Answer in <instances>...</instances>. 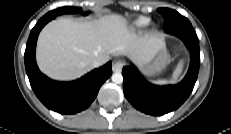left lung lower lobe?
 Segmentation results:
<instances>
[{
    "label": "left lung lower lobe",
    "instance_id": "1",
    "mask_svg": "<svg viewBox=\"0 0 231 134\" xmlns=\"http://www.w3.org/2000/svg\"><path fill=\"white\" fill-rule=\"evenodd\" d=\"M167 32L182 37L191 53L189 70L179 84L175 86L151 84L129 66H125L122 72L125 97L136 109L150 115H163L179 108L191 94L198 76L199 40L191 23L178 25Z\"/></svg>",
    "mask_w": 231,
    "mask_h": 134
}]
</instances>
